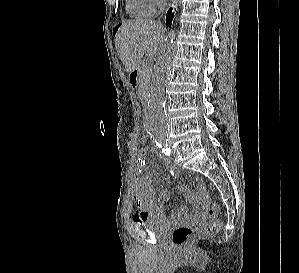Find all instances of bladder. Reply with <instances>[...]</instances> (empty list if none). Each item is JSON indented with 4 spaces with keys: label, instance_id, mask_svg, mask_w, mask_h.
Masks as SVG:
<instances>
[{
    "label": "bladder",
    "instance_id": "1",
    "mask_svg": "<svg viewBox=\"0 0 299 273\" xmlns=\"http://www.w3.org/2000/svg\"><path fill=\"white\" fill-rule=\"evenodd\" d=\"M138 223L156 233H163L165 231L164 221L160 217L152 214L146 216L143 220L138 221Z\"/></svg>",
    "mask_w": 299,
    "mask_h": 273
}]
</instances>
